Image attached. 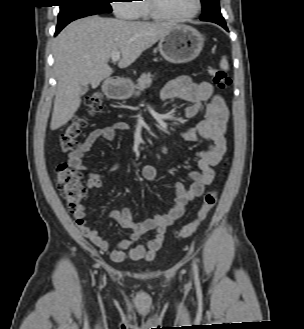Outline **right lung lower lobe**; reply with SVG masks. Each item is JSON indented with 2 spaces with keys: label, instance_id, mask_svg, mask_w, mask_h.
<instances>
[{
  "label": "right lung lower lobe",
  "instance_id": "1",
  "mask_svg": "<svg viewBox=\"0 0 304 329\" xmlns=\"http://www.w3.org/2000/svg\"><path fill=\"white\" fill-rule=\"evenodd\" d=\"M65 26L62 27H56L55 35H57Z\"/></svg>",
  "mask_w": 304,
  "mask_h": 329
}]
</instances>
